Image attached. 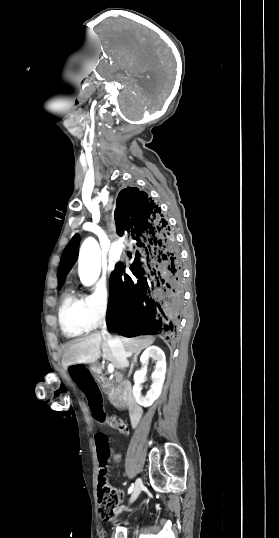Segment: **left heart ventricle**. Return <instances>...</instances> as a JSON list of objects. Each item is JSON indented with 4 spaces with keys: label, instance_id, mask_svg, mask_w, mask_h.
Here are the masks:
<instances>
[{
    "label": "left heart ventricle",
    "instance_id": "1",
    "mask_svg": "<svg viewBox=\"0 0 279 538\" xmlns=\"http://www.w3.org/2000/svg\"><path fill=\"white\" fill-rule=\"evenodd\" d=\"M84 207H70V210H81ZM80 219H72V224H75V222H79Z\"/></svg>",
    "mask_w": 279,
    "mask_h": 538
}]
</instances>
